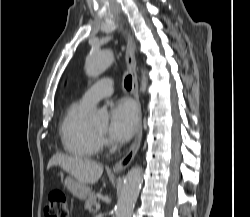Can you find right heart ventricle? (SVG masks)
<instances>
[{"instance_id": "1", "label": "right heart ventricle", "mask_w": 250, "mask_h": 217, "mask_svg": "<svg viewBox=\"0 0 250 217\" xmlns=\"http://www.w3.org/2000/svg\"><path fill=\"white\" fill-rule=\"evenodd\" d=\"M91 107L81 100L71 103L60 124L59 135L64 150L75 157L92 158L99 153L100 139L88 122Z\"/></svg>"}]
</instances>
